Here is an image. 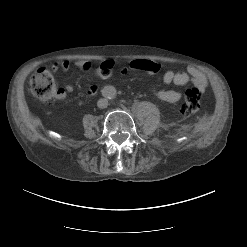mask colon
<instances>
[{
  "mask_svg": "<svg viewBox=\"0 0 247 247\" xmlns=\"http://www.w3.org/2000/svg\"><path fill=\"white\" fill-rule=\"evenodd\" d=\"M114 71L111 61H104L95 70V75L100 78L110 76ZM28 90L30 94L45 103H52L59 96L60 91L54 81L51 72L41 67L30 77ZM200 107V93L197 89H187L179 105V112L183 116L195 114Z\"/></svg>",
  "mask_w": 247,
  "mask_h": 247,
  "instance_id": "colon-1",
  "label": "colon"
}]
</instances>
